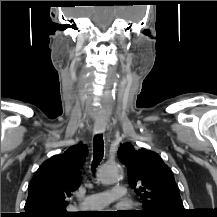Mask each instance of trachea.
<instances>
[{"label": "trachea", "instance_id": "trachea-1", "mask_svg": "<svg viewBox=\"0 0 217 217\" xmlns=\"http://www.w3.org/2000/svg\"><path fill=\"white\" fill-rule=\"evenodd\" d=\"M93 162H92V169L95 170L97 164L101 161L104 154V142L102 134L95 135L93 139Z\"/></svg>", "mask_w": 217, "mask_h": 217}]
</instances>
